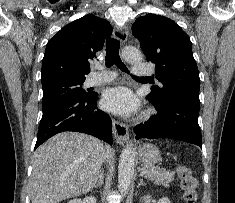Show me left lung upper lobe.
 <instances>
[{"label":"left lung upper lobe","mask_w":235,"mask_h":203,"mask_svg":"<svg viewBox=\"0 0 235 203\" xmlns=\"http://www.w3.org/2000/svg\"><path fill=\"white\" fill-rule=\"evenodd\" d=\"M133 35L148 61L156 64V78L162 88L152 87L147 96L164 102L175 94L199 97L200 78L188 35L171 19L147 14L132 25Z\"/></svg>","instance_id":"obj_1"}]
</instances>
